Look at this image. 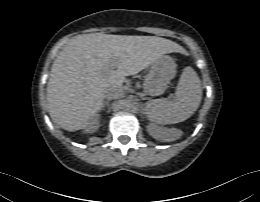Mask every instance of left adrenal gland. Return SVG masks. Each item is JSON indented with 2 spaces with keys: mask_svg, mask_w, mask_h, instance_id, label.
Returning <instances> with one entry per match:
<instances>
[{
  "mask_svg": "<svg viewBox=\"0 0 260 202\" xmlns=\"http://www.w3.org/2000/svg\"><path fill=\"white\" fill-rule=\"evenodd\" d=\"M141 113L146 114V109H145L144 105H142V107H141Z\"/></svg>",
  "mask_w": 260,
  "mask_h": 202,
  "instance_id": "a2214340",
  "label": "left adrenal gland"
}]
</instances>
